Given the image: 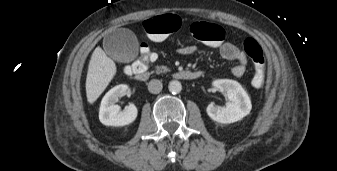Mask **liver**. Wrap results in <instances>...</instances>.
<instances>
[{"instance_id":"1","label":"liver","mask_w":337,"mask_h":171,"mask_svg":"<svg viewBox=\"0 0 337 171\" xmlns=\"http://www.w3.org/2000/svg\"><path fill=\"white\" fill-rule=\"evenodd\" d=\"M116 71L115 62L105 54L101 47H96L89 62L86 78V96L90 104L94 103L106 89Z\"/></svg>"}]
</instances>
